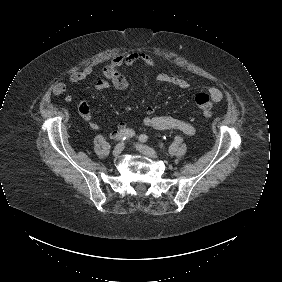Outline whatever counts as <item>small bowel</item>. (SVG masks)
I'll return each mask as SVG.
<instances>
[{"instance_id":"obj_1","label":"small bowel","mask_w":282,"mask_h":282,"mask_svg":"<svg viewBox=\"0 0 282 282\" xmlns=\"http://www.w3.org/2000/svg\"><path fill=\"white\" fill-rule=\"evenodd\" d=\"M131 66H141L156 69L157 63L144 52L119 54L111 61L110 64L105 66V68L103 69L105 79H100L95 83V91L100 92L109 88L110 86H114L118 89L125 88L127 86V81L121 75L120 69L122 67ZM92 73L93 67L90 65L86 66L82 70L72 73L68 78V82L70 84L79 83L89 77ZM155 80L160 84L169 87H177L183 90L188 89L190 86L188 80L167 73L157 74ZM66 91L67 84L64 82L56 83L52 87V94L54 96L64 95ZM209 95L211 100L215 103L221 101L222 99L221 90L215 87L209 90ZM64 100L67 103H71L74 100V97L71 94H65ZM78 111L82 119L88 122L92 129L98 130L100 128V125L93 120L91 109L87 101L81 100L79 102ZM143 124L148 128L157 130H177L188 136H193L196 133V128L191 123L172 116L156 115L153 107H148L146 109ZM126 127L127 126L125 123H121L117 129L111 132V137H117L122 131L126 129Z\"/></svg>"}]
</instances>
